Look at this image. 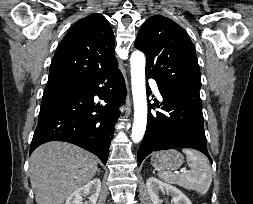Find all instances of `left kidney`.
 Instances as JSON below:
<instances>
[{"label": "left kidney", "mask_w": 253, "mask_h": 204, "mask_svg": "<svg viewBox=\"0 0 253 204\" xmlns=\"http://www.w3.org/2000/svg\"><path fill=\"white\" fill-rule=\"evenodd\" d=\"M146 187L150 198L153 204H161L162 200L159 197V194H167L172 197L171 201L174 204H192L190 199L183 194L179 189L176 187L164 183L155 177H150L147 179Z\"/></svg>", "instance_id": "obj_1"}]
</instances>
